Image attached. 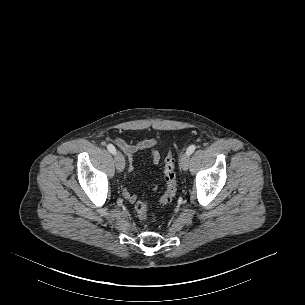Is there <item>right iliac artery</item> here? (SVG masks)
<instances>
[{
	"instance_id": "obj_1",
	"label": "right iliac artery",
	"mask_w": 305,
	"mask_h": 305,
	"mask_svg": "<svg viewBox=\"0 0 305 305\" xmlns=\"http://www.w3.org/2000/svg\"><path fill=\"white\" fill-rule=\"evenodd\" d=\"M107 149L109 152H111L112 154H115L116 153V149L115 147L112 145V144H108L107 145Z\"/></svg>"
}]
</instances>
